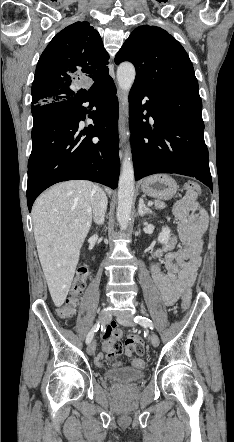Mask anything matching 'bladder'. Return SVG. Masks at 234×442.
<instances>
[{
    "label": "bladder",
    "instance_id": "bladder-1",
    "mask_svg": "<svg viewBox=\"0 0 234 442\" xmlns=\"http://www.w3.org/2000/svg\"><path fill=\"white\" fill-rule=\"evenodd\" d=\"M106 377L114 382L118 383H133L145 378V372L143 369H137L133 367H118L109 370L106 373Z\"/></svg>",
    "mask_w": 234,
    "mask_h": 442
}]
</instances>
